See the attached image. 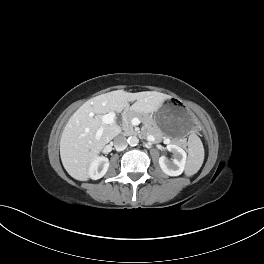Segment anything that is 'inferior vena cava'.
I'll list each match as a JSON object with an SVG mask.
<instances>
[{
	"label": "inferior vena cava",
	"mask_w": 264,
	"mask_h": 264,
	"mask_svg": "<svg viewBox=\"0 0 264 264\" xmlns=\"http://www.w3.org/2000/svg\"><path fill=\"white\" fill-rule=\"evenodd\" d=\"M114 147L117 151H122L127 147V139L123 135H118L114 138Z\"/></svg>",
	"instance_id": "1"
}]
</instances>
